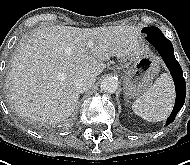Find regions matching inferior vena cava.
Instances as JSON below:
<instances>
[{
  "label": "inferior vena cava",
  "mask_w": 190,
  "mask_h": 165,
  "mask_svg": "<svg viewBox=\"0 0 190 165\" xmlns=\"http://www.w3.org/2000/svg\"><path fill=\"white\" fill-rule=\"evenodd\" d=\"M95 76L93 74H80L75 77L74 85L77 92L81 93L89 88L95 83Z\"/></svg>",
  "instance_id": "obj_1"
}]
</instances>
